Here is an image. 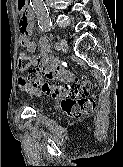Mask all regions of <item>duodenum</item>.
<instances>
[{"label": "duodenum", "mask_w": 123, "mask_h": 167, "mask_svg": "<svg viewBox=\"0 0 123 167\" xmlns=\"http://www.w3.org/2000/svg\"><path fill=\"white\" fill-rule=\"evenodd\" d=\"M31 17H33V14L30 12Z\"/></svg>", "instance_id": "1"}]
</instances>
